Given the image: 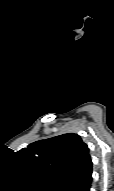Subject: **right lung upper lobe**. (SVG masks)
I'll return each instance as SVG.
<instances>
[{
    "label": "right lung upper lobe",
    "mask_w": 114,
    "mask_h": 191,
    "mask_svg": "<svg viewBox=\"0 0 114 191\" xmlns=\"http://www.w3.org/2000/svg\"><path fill=\"white\" fill-rule=\"evenodd\" d=\"M17 155L42 189L59 187L71 179L92 173L89 148L73 133L33 142Z\"/></svg>",
    "instance_id": "1"
}]
</instances>
